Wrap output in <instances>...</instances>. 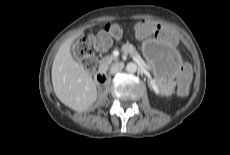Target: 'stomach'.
<instances>
[{
    "label": "stomach",
    "instance_id": "obj_1",
    "mask_svg": "<svg viewBox=\"0 0 230 155\" xmlns=\"http://www.w3.org/2000/svg\"><path fill=\"white\" fill-rule=\"evenodd\" d=\"M141 49L151 65L157 84L163 88L173 82L181 64V56L175 46L166 48L161 45L158 39H154L151 45H142Z\"/></svg>",
    "mask_w": 230,
    "mask_h": 155
}]
</instances>
